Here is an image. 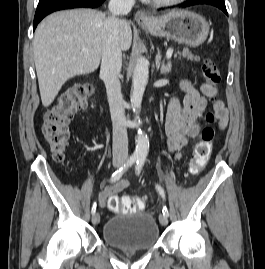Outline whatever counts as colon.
<instances>
[{
	"label": "colon",
	"mask_w": 265,
	"mask_h": 269,
	"mask_svg": "<svg viewBox=\"0 0 265 269\" xmlns=\"http://www.w3.org/2000/svg\"><path fill=\"white\" fill-rule=\"evenodd\" d=\"M202 73L209 86L216 90L221 82V75L216 63L212 59L204 60ZM93 88L89 84L74 87L67 93L62 94L57 102L46 112L42 126L44 139L49 146L53 159L62 162L65 159L68 140L69 123L73 115L86 109ZM204 125L200 138L196 143L189 166L191 175H197L207 164L212 151L215 131L213 123L215 114L211 111L205 116ZM109 208L118 213H134L144 206V200L135 196H112L108 202Z\"/></svg>",
	"instance_id": "5ec220e1"
}]
</instances>
